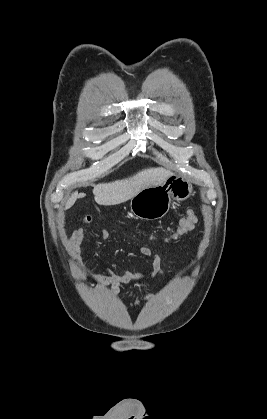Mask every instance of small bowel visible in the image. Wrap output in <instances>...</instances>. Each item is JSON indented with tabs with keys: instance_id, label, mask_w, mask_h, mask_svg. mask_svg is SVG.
Instances as JSON below:
<instances>
[{
	"instance_id": "small-bowel-1",
	"label": "small bowel",
	"mask_w": 267,
	"mask_h": 419,
	"mask_svg": "<svg viewBox=\"0 0 267 419\" xmlns=\"http://www.w3.org/2000/svg\"><path fill=\"white\" fill-rule=\"evenodd\" d=\"M92 220L91 216L87 215L83 218V225L78 229L71 232L68 238V246L71 257L80 263L79 260V248L84 239L85 225L90 223ZM100 238L106 240L109 238V232L107 230H102L100 233ZM140 254L147 258L151 259L150 267L147 271H136L132 269H127L123 272H115L110 268H106L104 273L100 272H85V275L95 283L107 285L108 293L110 295H117L120 291V287L125 284H129L134 281H146L153 278L156 275L163 273L162 268V259L159 255L152 254V251L148 247H141L139 249ZM153 299L151 294L145 296L142 300H137L135 305H140L143 302H148Z\"/></svg>"
}]
</instances>
